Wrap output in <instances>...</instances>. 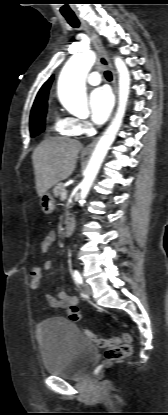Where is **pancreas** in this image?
I'll list each match as a JSON object with an SVG mask.
<instances>
[{"label": "pancreas", "mask_w": 168, "mask_h": 415, "mask_svg": "<svg viewBox=\"0 0 168 415\" xmlns=\"http://www.w3.org/2000/svg\"><path fill=\"white\" fill-rule=\"evenodd\" d=\"M63 191H66L65 187L63 186V183H58L53 189V194L55 197H60Z\"/></svg>", "instance_id": "1"}]
</instances>
